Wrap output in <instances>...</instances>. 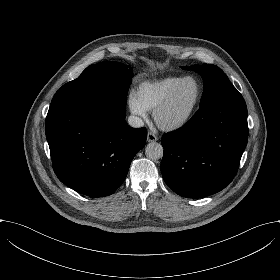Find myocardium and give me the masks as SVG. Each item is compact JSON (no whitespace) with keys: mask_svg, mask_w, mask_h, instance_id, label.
Returning <instances> with one entry per match:
<instances>
[{"mask_svg":"<svg viewBox=\"0 0 280 280\" xmlns=\"http://www.w3.org/2000/svg\"><path fill=\"white\" fill-rule=\"evenodd\" d=\"M189 79H195L199 83V87H200L198 100H197L195 106L187 114H185L184 116H182L180 118H176V119H172V120L166 119L165 116L168 113V111L170 110L175 96L180 91V89L182 88L185 81H187ZM204 94H205L204 84L198 77L193 76V75H188V76L183 77L182 80L178 83V85L173 90H171V92L167 96L164 103L155 110L154 115H155V120H156L158 126L161 129H163L165 131H169V132L179 130V129L183 128L184 126H186L194 118L197 111L199 110V108L202 104L203 98H204Z\"/></svg>","mask_w":280,"mask_h":280,"instance_id":"obj_1","label":"myocardium"}]
</instances>
